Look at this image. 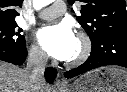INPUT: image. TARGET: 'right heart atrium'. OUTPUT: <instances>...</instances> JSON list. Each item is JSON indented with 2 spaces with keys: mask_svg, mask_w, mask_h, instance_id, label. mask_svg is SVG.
I'll use <instances>...</instances> for the list:
<instances>
[{
  "mask_svg": "<svg viewBox=\"0 0 127 92\" xmlns=\"http://www.w3.org/2000/svg\"><path fill=\"white\" fill-rule=\"evenodd\" d=\"M29 59L36 64H42L46 60V55L36 43H32L28 50Z\"/></svg>",
  "mask_w": 127,
  "mask_h": 92,
  "instance_id": "d8ad5b80",
  "label": "right heart atrium"
}]
</instances>
